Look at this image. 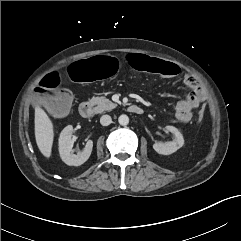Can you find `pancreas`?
<instances>
[{"label": "pancreas", "mask_w": 241, "mask_h": 241, "mask_svg": "<svg viewBox=\"0 0 241 241\" xmlns=\"http://www.w3.org/2000/svg\"><path fill=\"white\" fill-rule=\"evenodd\" d=\"M89 102L92 105H96L95 110L97 113L112 110L117 106L115 103L111 102L105 97H92Z\"/></svg>", "instance_id": "pancreas-1"}]
</instances>
